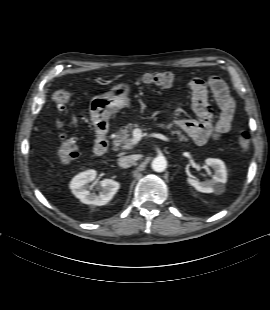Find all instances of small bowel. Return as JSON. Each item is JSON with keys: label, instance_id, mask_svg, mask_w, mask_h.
Segmentation results:
<instances>
[{"label": "small bowel", "instance_id": "1", "mask_svg": "<svg viewBox=\"0 0 270 310\" xmlns=\"http://www.w3.org/2000/svg\"><path fill=\"white\" fill-rule=\"evenodd\" d=\"M189 87L192 92L195 118L178 121L177 125L197 145H204L229 132L235 103L226 83L218 76H212L207 80L195 77L189 81ZM208 91L213 94L219 108V115L216 119H213L209 109Z\"/></svg>", "mask_w": 270, "mask_h": 310}]
</instances>
